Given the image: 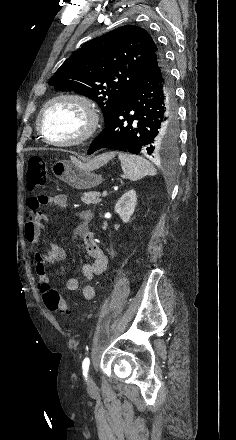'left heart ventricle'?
<instances>
[{
    "instance_id": "left-heart-ventricle-1",
    "label": "left heart ventricle",
    "mask_w": 236,
    "mask_h": 440,
    "mask_svg": "<svg viewBox=\"0 0 236 440\" xmlns=\"http://www.w3.org/2000/svg\"><path fill=\"white\" fill-rule=\"evenodd\" d=\"M46 136L52 140L74 139L85 126L82 111L69 102H57L49 107L43 118Z\"/></svg>"
}]
</instances>
